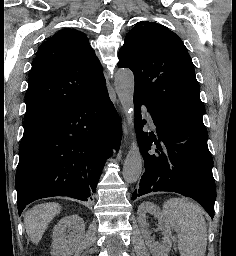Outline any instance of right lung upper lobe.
<instances>
[{"mask_svg": "<svg viewBox=\"0 0 236 256\" xmlns=\"http://www.w3.org/2000/svg\"><path fill=\"white\" fill-rule=\"evenodd\" d=\"M106 89L102 66L85 34L61 30L38 48L33 60L24 122H47Z\"/></svg>", "mask_w": 236, "mask_h": 256, "instance_id": "1", "label": "right lung upper lobe"}]
</instances>
